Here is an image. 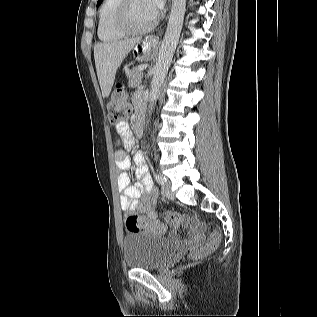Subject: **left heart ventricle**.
<instances>
[{"instance_id":"b2bd125f","label":"left heart ventricle","mask_w":317,"mask_h":317,"mask_svg":"<svg viewBox=\"0 0 317 317\" xmlns=\"http://www.w3.org/2000/svg\"><path fill=\"white\" fill-rule=\"evenodd\" d=\"M155 17L147 0H132L129 11V21L132 26L144 27L151 23Z\"/></svg>"}]
</instances>
